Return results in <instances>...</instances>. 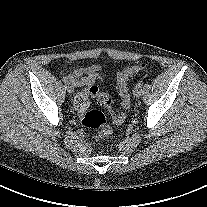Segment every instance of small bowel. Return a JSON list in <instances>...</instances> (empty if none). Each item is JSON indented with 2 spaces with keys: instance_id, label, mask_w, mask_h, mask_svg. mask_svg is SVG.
I'll list each match as a JSON object with an SVG mask.
<instances>
[{
  "instance_id": "small-bowel-1",
  "label": "small bowel",
  "mask_w": 207,
  "mask_h": 207,
  "mask_svg": "<svg viewBox=\"0 0 207 207\" xmlns=\"http://www.w3.org/2000/svg\"><path fill=\"white\" fill-rule=\"evenodd\" d=\"M100 72L101 67L98 65L78 66L68 74V77L73 85L88 87L102 80Z\"/></svg>"
}]
</instances>
